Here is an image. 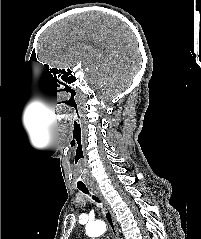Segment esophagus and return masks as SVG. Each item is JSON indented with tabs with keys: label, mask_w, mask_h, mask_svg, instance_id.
Masks as SVG:
<instances>
[{
	"label": "esophagus",
	"mask_w": 201,
	"mask_h": 239,
	"mask_svg": "<svg viewBox=\"0 0 201 239\" xmlns=\"http://www.w3.org/2000/svg\"><path fill=\"white\" fill-rule=\"evenodd\" d=\"M91 190L95 193V195L98 197V199L101 202L103 215L107 221V224L110 230L112 231V234L114 235V239H120L118 224L116 222L115 215L111 207L107 203L105 197L103 196V194L101 193L98 187L92 186Z\"/></svg>",
	"instance_id": "esophagus-1"
}]
</instances>
